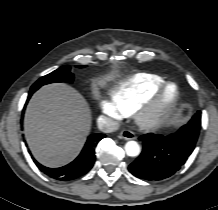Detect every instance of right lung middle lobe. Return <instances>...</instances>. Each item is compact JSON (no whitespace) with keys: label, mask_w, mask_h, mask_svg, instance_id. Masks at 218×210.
Segmentation results:
<instances>
[{"label":"right lung middle lobe","mask_w":218,"mask_h":210,"mask_svg":"<svg viewBox=\"0 0 218 210\" xmlns=\"http://www.w3.org/2000/svg\"><path fill=\"white\" fill-rule=\"evenodd\" d=\"M76 67L83 68L85 66L78 65ZM72 81H73V74L71 73V68L69 66H62L57 70L51 72L50 74L41 77L38 81H36L32 85L31 90L35 92L41 86L49 83H54V82L71 83Z\"/></svg>","instance_id":"dd1d6c3e"}]
</instances>
